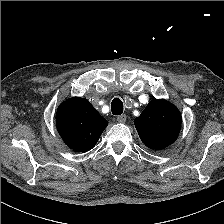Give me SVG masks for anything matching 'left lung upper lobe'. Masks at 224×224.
Here are the masks:
<instances>
[{
	"mask_svg": "<svg viewBox=\"0 0 224 224\" xmlns=\"http://www.w3.org/2000/svg\"><path fill=\"white\" fill-rule=\"evenodd\" d=\"M178 108L166 100H152L134 121L142 142L150 149L160 150L171 145L181 129Z\"/></svg>",
	"mask_w": 224,
	"mask_h": 224,
	"instance_id": "left-lung-upper-lobe-1",
	"label": "left lung upper lobe"
}]
</instances>
